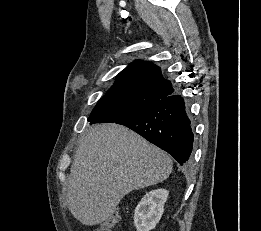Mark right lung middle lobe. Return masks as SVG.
Returning <instances> with one entry per match:
<instances>
[{"instance_id":"dd1d6c3e","label":"right lung middle lobe","mask_w":261,"mask_h":231,"mask_svg":"<svg viewBox=\"0 0 261 231\" xmlns=\"http://www.w3.org/2000/svg\"><path fill=\"white\" fill-rule=\"evenodd\" d=\"M160 100L158 96L136 87L109 90L94 107L88 121L117 122L151 107Z\"/></svg>"}]
</instances>
